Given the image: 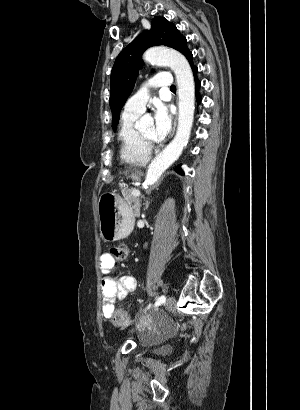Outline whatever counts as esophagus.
Returning a JSON list of instances; mask_svg holds the SVG:
<instances>
[{
  "label": "esophagus",
  "mask_w": 300,
  "mask_h": 410,
  "mask_svg": "<svg viewBox=\"0 0 300 410\" xmlns=\"http://www.w3.org/2000/svg\"><path fill=\"white\" fill-rule=\"evenodd\" d=\"M176 124H177V116H176V118H175V120H174L172 135L174 134V131H175V128H176Z\"/></svg>",
  "instance_id": "1"
}]
</instances>
